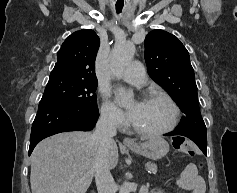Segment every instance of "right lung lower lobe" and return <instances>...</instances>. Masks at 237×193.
Wrapping results in <instances>:
<instances>
[{"label": "right lung lower lobe", "mask_w": 237, "mask_h": 193, "mask_svg": "<svg viewBox=\"0 0 237 193\" xmlns=\"http://www.w3.org/2000/svg\"><path fill=\"white\" fill-rule=\"evenodd\" d=\"M98 117V112L80 111L55 103H39L31 130L29 155L46 137L60 132L93 129Z\"/></svg>", "instance_id": "98d812e1"}]
</instances>
